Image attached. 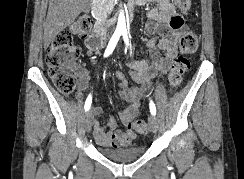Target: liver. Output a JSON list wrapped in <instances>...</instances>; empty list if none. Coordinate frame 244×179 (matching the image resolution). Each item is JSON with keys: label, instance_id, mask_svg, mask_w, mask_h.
<instances>
[{"label": "liver", "instance_id": "6515ba94", "mask_svg": "<svg viewBox=\"0 0 244 179\" xmlns=\"http://www.w3.org/2000/svg\"><path fill=\"white\" fill-rule=\"evenodd\" d=\"M89 0H49L44 32V48L56 38L59 32L73 24Z\"/></svg>", "mask_w": 244, "mask_h": 179}]
</instances>
